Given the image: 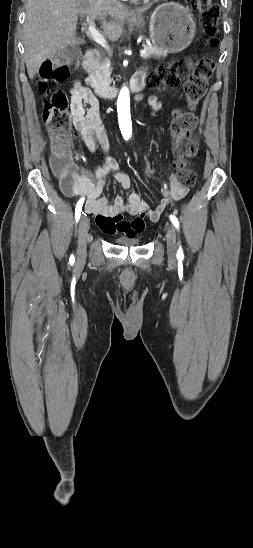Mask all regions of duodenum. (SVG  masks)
Wrapping results in <instances>:
<instances>
[{
  "mask_svg": "<svg viewBox=\"0 0 253 548\" xmlns=\"http://www.w3.org/2000/svg\"><path fill=\"white\" fill-rule=\"evenodd\" d=\"M99 55V51L96 48L89 49L85 56L82 58L80 65L84 66L94 61ZM144 86V76L136 75L131 81V90L133 92H139ZM97 93L103 98H115L118 95L119 89L113 86H100L96 89Z\"/></svg>",
  "mask_w": 253,
  "mask_h": 548,
  "instance_id": "duodenum-1",
  "label": "duodenum"
}]
</instances>
